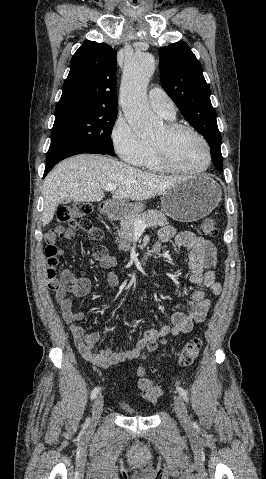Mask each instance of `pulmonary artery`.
Returning <instances> with one entry per match:
<instances>
[{"mask_svg":"<svg viewBox=\"0 0 266 479\" xmlns=\"http://www.w3.org/2000/svg\"><path fill=\"white\" fill-rule=\"evenodd\" d=\"M150 107L167 120L175 118V106L171 98L161 88L150 89L148 94Z\"/></svg>","mask_w":266,"mask_h":479,"instance_id":"pulmonary-artery-1","label":"pulmonary artery"}]
</instances>
